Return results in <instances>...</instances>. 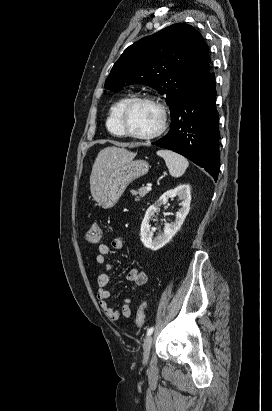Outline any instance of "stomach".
<instances>
[{
    "mask_svg": "<svg viewBox=\"0 0 272 411\" xmlns=\"http://www.w3.org/2000/svg\"><path fill=\"white\" fill-rule=\"evenodd\" d=\"M149 164L144 160H129L116 168L108 177L102 189L99 204L108 209L115 206L126 187L135 179L147 174Z\"/></svg>",
    "mask_w": 272,
    "mask_h": 411,
    "instance_id": "obj_1",
    "label": "stomach"
}]
</instances>
